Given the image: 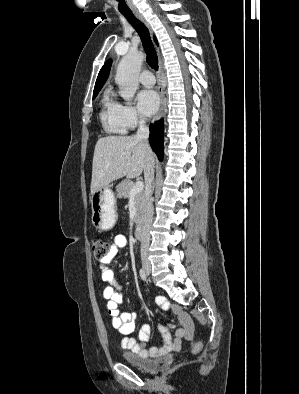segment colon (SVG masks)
<instances>
[{"label":"colon","mask_w":299,"mask_h":394,"mask_svg":"<svg viewBox=\"0 0 299 394\" xmlns=\"http://www.w3.org/2000/svg\"><path fill=\"white\" fill-rule=\"evenodd\" d=\"M91 246L93 255L97 260L103 261L107 258L110 251V245L107 241L100 238H94L91 242ZM201 348L202 343L198 342L193 345L192 352L197 353L201 350Z\"/></svg>","instance_id":"colon-1"}]
</instances>
